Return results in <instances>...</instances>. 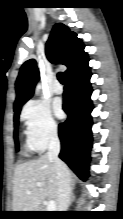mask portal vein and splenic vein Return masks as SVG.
<instances>
[{
  "label": "portal vein and splenic vein",
  "instance_id": "obj_1",
  "mask_svg": "<svg viewBox=\"0 0 123 219\" xmlns=\"http://www.w3.org/2000/svg\"><path fill=\"white\" fill-rule=\"evenodd\" d=\"M40 186V184H38ZM31 191H27V194H30ZM56 203L54 200H50L47 204V211H55Z\"/></svg>",
  "mask_w": 123,
  "mask_h": 219
}]
</instances>
